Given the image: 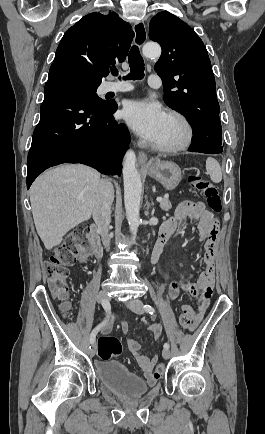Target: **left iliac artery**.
Masks as SVG:
<instances>
[{"mask_svg": "<svg viewBox=\"0 0 265 434\" xmlns=\"http://www.w3.org/2000/svg\"><path fill=\"white\" fill-rule=\"evenodd\" d=\"M143 308L145 311H147L151 315H153V313L155 312L154 308L151 305H144ZM164 348L169 349V343L166 342L164 344Z\"/></svg>", "mask_w": 265, "mask_h": 434, "instance_id": "obj_1", "label": "left iliac artery"}]
</instances>
